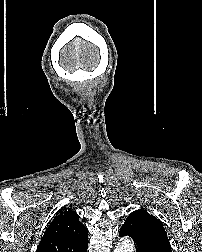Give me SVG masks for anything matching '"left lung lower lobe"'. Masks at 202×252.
<instances>
[{
    "mask_svg": "<svg viewBox=\"0 0 202 252\" xmlns=\"http://www.w3.org/2000/svg\"><path fill=\"white\" fill-rule=\"evenodd\" d=\"M119 236H130L131 238H133L136 244V252H161L158 250L149 249L146 245H143L139 241H137L135 230L130 225L123 224L119 231Z\"/></svg>",
    "mask_w": 202,
    "mask_h": 252,
    "instance_id": "left-lung-lower-lobe-1",
    "label": "left lung lower lobe"
}]
</instances>
